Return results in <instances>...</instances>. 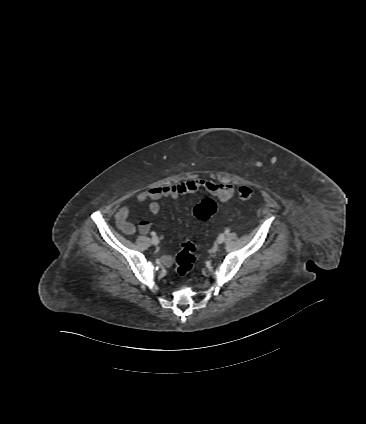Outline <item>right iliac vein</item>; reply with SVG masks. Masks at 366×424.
I'll use <instances>...</instances> for the list:
<instances>
[{
	"instance_id": "obj_1",
	"label": "right iliac vein",
	"mask_w": 366,
	"mask_h": 424,
	"mask_svg": "<svg viewBox=\"0 0 366 424\" xmlns=\"http://www.w3.org/2000/svg\"><path fill=\"white\" fill-rule=\"evenodd\" d=\"M151 242H152L153 245H158L159 244V239L156 236H154L152 238Z\"/></svg>"
}]
</instances>
